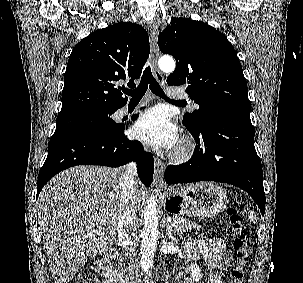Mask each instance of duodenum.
I'll return each mask as SVG.
<instances>
[{
  "mask_svg": "<svg viewBox=\"0 0 303 283\" xmlns=\"http://www.w3.org/2000/svg\"><path fill=\"white\" fill-rule=\"evenodd\" d=\"M100 270L104 271L109 283H124V269L117 252L106 253L100 264Z\"/></svg>",
  "mask_w": 303,
  "mask_h": 283,
  "instance_id": "1",
  "label": "duodenum"
}]
</instances>
